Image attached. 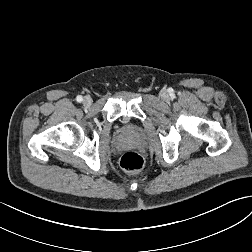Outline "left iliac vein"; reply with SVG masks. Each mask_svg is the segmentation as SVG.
<instances>
[{
	"instance_id": "4c4485c4",
	"label": "left iliac vein",
	"mask_w": 252,
	"mask_h": 252,
	"mask_svg": "<svg viewBox=\"0 0 252 252\" xmlns=\"http://www.w3.org/2000/svg\"><path fill=\"white\" fill-rule=\"evenodd\" d=\"M162 98H166V92L161 93Z\"/></svg>"
}]
</instances>
